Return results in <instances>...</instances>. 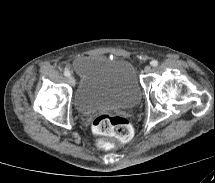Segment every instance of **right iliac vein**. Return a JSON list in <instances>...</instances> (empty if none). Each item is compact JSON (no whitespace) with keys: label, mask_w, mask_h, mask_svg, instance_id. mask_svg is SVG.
I'll use <instances>...</instances> for the list:
<instances>
[{"label":"right iliac vein","mask_w":215,"mask_h":183,"mask_svg":"<svg viewBox=\"0 0 215 183\" xmlns=\"http://www.w3.org/2000/svg\"><path fill=\"white\" fill-rule=\"evenodd\" d=\"M68 82L70 83V85L74 86L75 85V78L73 76H69Z\"/></svg>","instance_id":"1"}]
</instances>
